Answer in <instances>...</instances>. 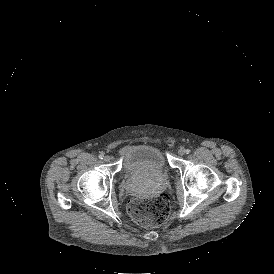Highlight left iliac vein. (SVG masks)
<instances>
[{
	"label": "left iliac vein",
	"instance_id": "left-iliac-vein-1",
	"mask_svg": "<svg viewBox=\"0 0 274 274\" xmlns=\"http://www.w3.org/2000/svg\"><path fill=\"white\" fill-rule=\"evenodd\" d=\"M185 153H186V152H185V149H184V148H179V149H178V155H179V156H183V155H185Z\"/></svg>",
	"mask_w": 274,
	"mask_h": 274
}]
</instances>
